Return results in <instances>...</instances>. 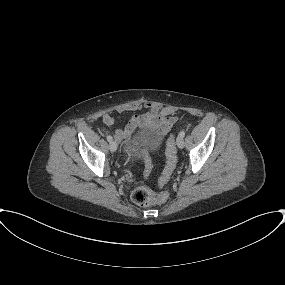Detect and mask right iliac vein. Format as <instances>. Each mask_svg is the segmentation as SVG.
<instances>
[{
    "label": "right iliac vein",
    "mask_w": 285,
    "mask_h": 285,
    "mask_svg": "<svg viewBox=\"0 0 285 285\" xmlns=\"http://www.w3.org/2000/svg\"><path fill=\"white\" fill-rule=\"evenodd\" d=\"M117 143L115 141H111L110 144H109V149L111 152H115L117 150Z\"/></svg>",
    "instance_id": "63e3f726"
}]
</instances>
